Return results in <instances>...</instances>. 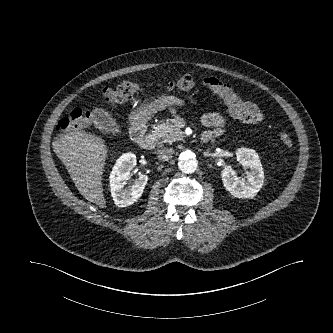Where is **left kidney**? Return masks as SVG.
<instances>
[{
	"mask_svg": "<svg viewBox=\"0 0 333 333\" xmlns=\"http://www.w3.org/2000/svg\"><path fill=\"white\" fill-rule=\"evenodd\" d=\"M236 159L240 165L249 169L246 181H240L231 166H225L221 173L225 189L236 198H253L264 183V172L260 158L255 150L239 148Z\"/></svg>",
	"mask_w": 333,
	"mask_h": 333,
	"instance_id": "left-kidney-1",
	"label": "left kidney"
}]
</instances>
